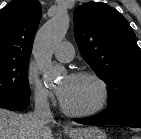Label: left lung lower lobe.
<instances>
[{
	"instance_id": "1",
	"label": "left lung lower lobe",
	"mask_w": 141,
	"mask_h": 139,
	"mask_svg": "<svg viewBox=\"0 0 141 139\" xmlns=\"http://www.w3.org/2000/svg\"><path fill=\"white\" fill-rule=\"evenodd\" d=\"M74 121L88 125L113 124L141 128V96L130 97L100 114Z\"/></svg>"
}]
</instances>
